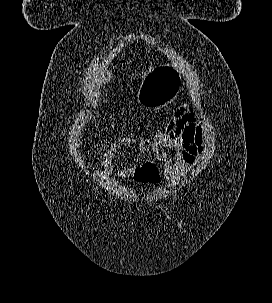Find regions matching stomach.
<instances>
[{"instance_id":"1","label":"stomach","mask_w":272,"mask_h":303,"mask_svg":"<svg viewBox=\"0 0 272 303\" xmlns=\"http://www.w3.org/2000/svg\"><path fill=\"white\" fill-rule=\"evenodd\" d=\"M182 78L173 65L154 68L144 77L138 90L137 101L146 109H158L170 103L180 92Z\"/></svg>"}]
</instances>
